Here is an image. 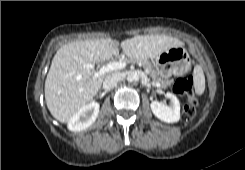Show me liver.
<instances>
[{
	"label": "liver",
	"instance_id": "obj_1",
	"mask_svg": "<svg viewBox=\"0 0 245 170\" xmlns=\"http://www.w3.org/2000/svg\"><path fill=\"white\" fill-rule=\"evenodd\" d=\"M184 43L166 35H138L120 43L129 58H153ZM119 42L107 39L80 40L61 46L53 57L45 80V101L51 115L61 123L70 118L99 92L110 74L95 77L84 64L107 61L119 54Z\"/></svg>",
	"mask_w": 245,
	"mask_h": 170
}]
</instances>
